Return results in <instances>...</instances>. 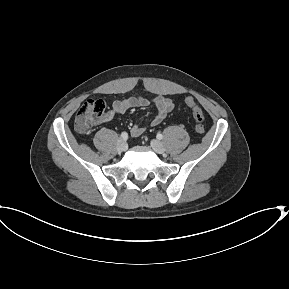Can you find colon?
Instances as JSON below:
<instances>
[{"label": "colon", "mask_w": 289, "mask_h": 289, "mask_svg": "<svg viewBox=\"0 0 289 289\" xmlns=\"http://www.w3.org/2000/svg\"><path fill=\"white\" fill-rule=\"evenodd\" d=\"M186 105L191 109L195 121V131H205L203 112L198 103L192 98L185 99ZM106 104L103 100H87L75 117V128L81 134H88L91 129L102 119L105 114Z\"/></svg>", "instance_id": "obj_1"}]
</instances>
